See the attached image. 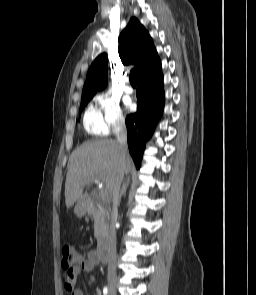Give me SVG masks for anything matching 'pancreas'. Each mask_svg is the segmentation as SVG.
<instances>
[{"label":"pancreas","instance_id":"obj_1","mask_svg":"<svg viewBox=\"0 0 256 295\" xmlns=\"http://www.w3.org/2000/svg\"><path fill=\"white\" fill-rule=\"evenodd\" d=\"M92 216L94 219V236L100 242L108 232V215L101 207H95Z\"/></svg>","mask_w":256,"mask_h":295}]
</instances>
